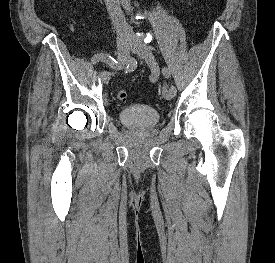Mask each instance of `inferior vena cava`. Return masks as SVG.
I'll return each mask as SVG.
<instances>
[{
	"instance_id": "inferior-vena-cava-1",
	"label": "inferior vena cava",
	"mask_w": 275,
	"mask_h": 263,
	"mask_svg": "<svg viewBox=\"0 0 275 263\" xmlns=\"http://www.w3.org/2000/svg\"><path fill=\"white\" fill-rule=\"evenodd\" d=\"M107 11L118 34L130 32L132 29L122 13L119 0H105Z\"/></svg>"
}]
</instances>
